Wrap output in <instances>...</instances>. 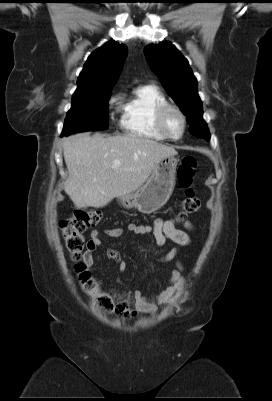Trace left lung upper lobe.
Instances as JSON below:
<instances>
[{
	"mask_svg": "<svg viewBox=\"0 0 272 401\" xmlns=\"http://www.w3.org/2000/svg\"><path fill=\"white\" fill-rule=\"evenodd\" d=\"M145 56L163 87L186 115L191 134L210 139V134L202 118V102L197 91V80L187 59L170 42L148 45Z\"/></svg>",
	"mask_w": 272,
	"mask_h": 401,
	"instance_id": "obj_1",
	"label": "left lung upper lobe"
}]
</instances>
